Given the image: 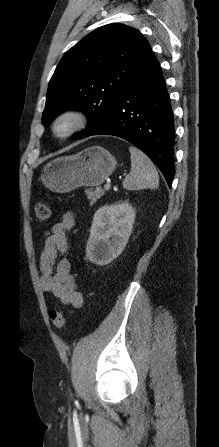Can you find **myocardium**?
<instances>
[{"label":"myocardium","mask_w":219,"mask_h":447,"mask_svg":"<svg viewBox=\"0 0 219 447\" xmlns=\"http://www.w3.org/2000/svg\"><path fill=\"white\" fill-rule=\"evenodd\" d=\"M87 124L88 117L83 111L66 110L53 119L51 131L58 138H68L83 130Z\"/></svg>","instance_id":"f54148a6"}]
</instances>
